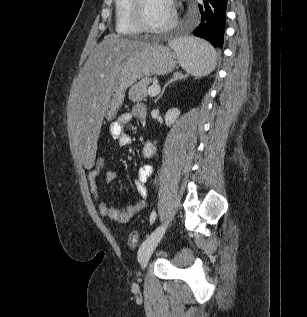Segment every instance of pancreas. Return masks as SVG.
I'll return each instance as SVG.
<instances>
[{"instance_id":"1","label":"pancreas","mask_w":307,"mask_h":317,"mask_svg":"<svg viewBox=\"0 0 307 317\" xmlns=\"http://www.w3.org/2000/svg\"><path fill=\"white\" fill-rule=\"evenodd\" d=\"M152 82L151 78L145 77L136 82L129 90L128 97L133 102L144 100L148 94V86Z\"/></svg>"}]
</instances>
